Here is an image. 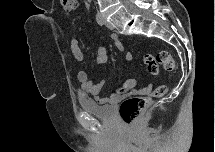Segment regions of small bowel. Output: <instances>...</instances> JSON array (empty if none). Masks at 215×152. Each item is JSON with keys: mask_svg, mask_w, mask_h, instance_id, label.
I'll list each match as a JSON object with an SVG mask.
<instances>
[{"mask_svg": "<svg viewBox=\"0 0 215 152\" xmlns=\"http://www.w3.org/2000/svg\"><path fill=\"white\" fill-rule=\"evenodd\" d=\"M112 39L116 42V45L121 48L117 36L113 35ZM70 49L77 61L81 62L84 60V52L79 44V41L76 38L71 40ZM124 57L127 61H131L132 55L131 53H126ZM94 60L98 64H103L108 60V50L105 46H101L97 49ZM77 80L80 84L83 94L94 97L98 102L102 104L116 102L127 94L143 95L148 93L152 88L151 85L142 87L138 86L137 79L132 77L124 83L120 91L113 93L108 98H105L100 96V92L105 85L104 80L94 82L89 79L88 74L85 71H79L77 73Z\"/></svg>", "mask_w": 215, "mask_h": 152, "instance_id": "obj_1", "label": "small bowel"}]
</instances>
